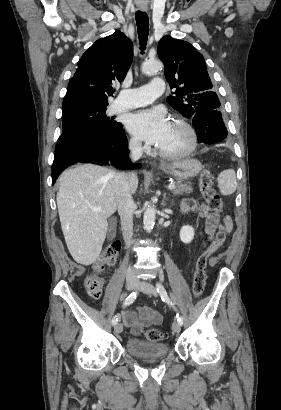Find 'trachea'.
I'll use <instances>...</instances> for the list:
<instances>
[{
	"label": "trachea",
	"instance_id": "trachea-1",
	"mask_svg": "<svg viewBox=\"0 0 281 410\" xmlns=\"http://www.w3.org/2000/svg\"><path fill=\"white\" fill-rule=\"evenodd\" d=\"M136 25L139 35L140 49L144 51L146 49L147 39L149 35V18L145 12H136Z\"/></svg>",
	"mask_w": 281,
	"mask_h": 410
}]
</instances>
